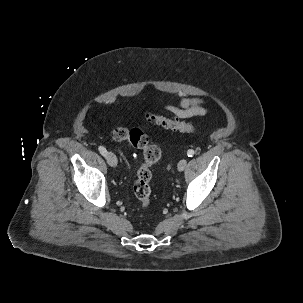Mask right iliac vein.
Wrapping results in <instances>:
<instances>
[{
	"label": "right iliac vein",
	"mask_w": 303,
	"mask_h": 303,
	"mask_svg": "<svg viewBox=\"0 0 303 303\" xmlns=\"http://www.w3.org/2000/svg\"><path fill=\"white\" fill-rule=\"evenodd\" d=\"M105 157H106L107 163L111 167H116L117 166V158H116L115 154H113L112 152H107Z\"/></svg>",
	"instance_id": "obj_1"
}]
</instances>
